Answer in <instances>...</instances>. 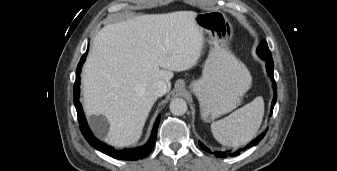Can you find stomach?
<instances>
[{
  "label": "stomach",
  "mask_w": 337,
  "mask_h": 171,
  "mask_svg": "<svg viewBox=\"0 0 337 171\" xmlns=\"http://www.w3.org/2000/svg\"><path fill=\"white\" fill-rule=\"evenodd\" d=\"M197 26L208 35L211 45L202 77L190 84L200 104L201 117L210 122L235 109L251 87L245 65L227 49L233 34L232 24L219 11L197 14Z\"/></svg>",
  "instance_id": "obj_1"
}]
</instances>
